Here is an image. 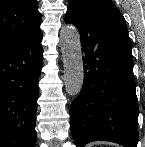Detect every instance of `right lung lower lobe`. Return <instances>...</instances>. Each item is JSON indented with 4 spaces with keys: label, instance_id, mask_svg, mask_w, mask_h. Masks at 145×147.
<instances>
[{
    "label": "right lung lower lobe",
    "instance_id": "right-lung-lower-lobe-1",
    "mask_svg": "<svg viewBox=\"0 0 145 147\" xmlns=\"http://www.w3.org/2000/svg\"><path fill=\"white\" fill-rule=\"evenodd\" d=\"M42 32L0 50V147H34Z\"/></svg>",
    "mask_w": 145,
    "mask_h": 147
}]
</instances>
